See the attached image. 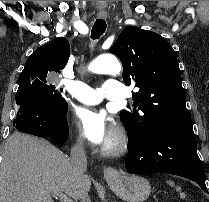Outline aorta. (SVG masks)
Wrapping results in <instances>:
<instances>
[{
	"instance_id": "aorta-1",
	"label": "aorta",
	"mask_w": 209,
	"mask_h": 202,
	"mask_svg": "<svg viewBox=\"0 0 209 202\" xmlns=\"http://www.w3.org/2000/svg\"><path fill=\"white\" fill-rule=\"evenodd\" d=\"M121 64L118 59L110 54L101 55L90 63L88 70L96 74H109L116 76L121 72Z\"/></svg>"
}]
</instances>
